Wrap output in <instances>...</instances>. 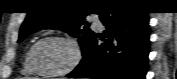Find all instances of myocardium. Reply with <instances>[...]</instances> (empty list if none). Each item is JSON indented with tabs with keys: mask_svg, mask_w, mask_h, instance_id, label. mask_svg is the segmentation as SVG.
I'll list each match as a JSON object with an SVG mask.
<instances>
[{
	"mask_svg": "<svg viewBox=\"0 0 177 79\" xmlns=\"http://www.w3.org/2000/svg\"><path fill=\"white\" fill-rule=\"evenodd\" d=\"M48 40L65 41L72 46L73 54H74L73 59L69 63V65L67 67H65L64 69L58 70V71H47V70L40 68L37 65L36 60H35V51L40 44H42L43 42L48 41ZM82 55H83L82 49L75 38H73L69 35L53 34V35L44 36L33 44V46L31 47V49L29 51V61H30V65L32 66L33 70L41 75L60 76V75L68 74V73L72 72L75 68H77L78 65L81 63Z\"/></svg>",
	"mask_w": 177,
	"mask_h": 79,
	"instance_id": "1",
	"label": "myocardium"
}]
</instances>
